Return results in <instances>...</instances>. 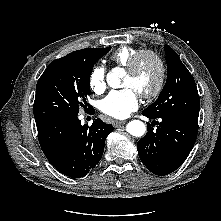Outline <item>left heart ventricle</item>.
Segmentation results:
<instances>
[{"mask_svg":"<svg viewBox=\"0 0 221 221\" xmlns=\"http://www.w3.org/2000/svg\"><path fill=\"white\" fill-rule=\"evenodd\" d=\"M159 78V69L151 57H143L134 74L126 73L124 87L133 88L138 94L154 89Z\"/></svg>","mask_w":221,"mask_h":221,"instance_id":"obj_1","label":"left heart ventricle"}]
</instances>
